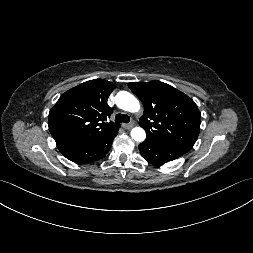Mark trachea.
<instances>
[{"mask_svg": "<svg viewBox=\"0 0 253 253\" xmlns=\"http://www.w3.org/2000/svg\"><path fill=\"white\" fill-rule=\"evenodd\" d=\"M115 122L116 123H129L130 122V117L126 114H117L115 117Z\"/></svg>", "mask_w": 253, "mask_h": 253, "instance_id": "1", "label": "trachea"}]
</instances>
